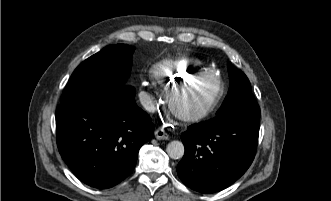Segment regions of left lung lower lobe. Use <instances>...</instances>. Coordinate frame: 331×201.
Masks as SVG:
<instances>
[{
    "mask_svg": "<svg viewBox=\"0 0 331 201\" xmlns=\"http://www.w3.org/2000/svg\"><path fill=\"white\" fill-rule=\"evenodd\" d=\"M259 107L234 110L193 124L181 135L185 155L177 173L201 193L225 189L251 165L259 136Z\"/></svg>",
    "mask_w": 331,
    "mask_h": 201,
    "instance_id": "0a47b994",
    "label": "left lung lower lobe"
}]
</instances>
